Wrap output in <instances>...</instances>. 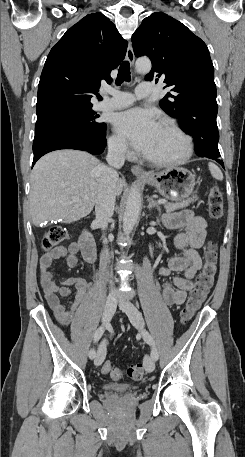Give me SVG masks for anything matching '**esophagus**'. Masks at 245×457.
<instances>
[{
    "mask_svg": "<svg viewBox=\"0 0 245 457\" xmlns=\"http://www.w3.org/2000/svg\"><path fill=\"white\" fill-rule=\"evenodd\" d=\"M126 60L133 65L135 61L134 57V52L132 45L129 43L128 48H127V53H126ZM131 172L136 175V176H141V177H149L150 174L148 172H145L143 168L139 167L138 165H133L131 167Z\"/></svg>",
    "mask_w": 245,
    "mask_h": 457,
    "instance_id": "1",
    "label": "esophagus"
}]
</instances>
